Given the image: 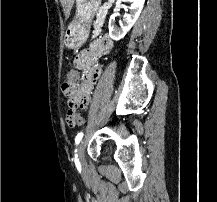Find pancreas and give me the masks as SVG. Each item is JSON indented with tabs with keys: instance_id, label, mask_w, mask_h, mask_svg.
I'll return each mask as SVG.
<instances>
[{
	"instance_id": "pancreas-1",
	"label": "pancreas",
	"mask_w": 217,
	"mask_h": 202,
	"mask_svg": "<svg viewBox=\"0 0 217 202\" xmlns=\"http://www.w3.org/2000/svg\"><path fill=\"white\" fill-rule=\"evenodd\" d=\"M102 31L101 30H93L92 31V38H97L98 35H101Z\"/></svg>"
}]
</instances>
